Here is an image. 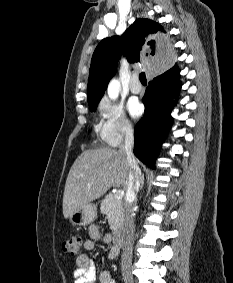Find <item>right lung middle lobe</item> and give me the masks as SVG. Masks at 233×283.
<instances>
[{
	"label": "right lung middle lobe",
	"instance_id": "obj_1",
	"mask_svg": "<svg viewBox=\"0 0 233 283\" xmlns=\"http://www.w3.org/2000/svg\"><path fill=\"white\" fill-rule=\"evenodd\" d=\"M91 111H95L97 108V104L96 105H91L89 106Z\"/></svg>",
	"mask_w": 233,
	"mask_h": 283
}]
</instances>
